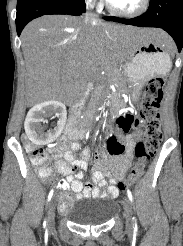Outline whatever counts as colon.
<instances>
[{
  "mask_svg": "<svg viewBox=\"0 0 183 246\" xmlns=\"http://www.w3.org/2000/svg\"><path fill=\"white\" fill-rule=\"evenodd\" d=\"M164 81L162 78H153L146 86L145 93L141 99L138 116L123 115L118 118L116 132L109 133L106 140V149L111 157H124L127 147L118 138L126 137L132 129L141 132L142 139L135 148L136 163L131 169L126 181L119 180L116 183L118 190H123L126 183H133L144 173L147 162L156 154L161 140L162 131L160 127V106L163 99ZM26 150L33 164L40 168V174L47 177L50 168L47 164V155L44 149L36 147L25 140ZM60 209L65 206L60 202Z\"/></svg>",
  "mask_w": 183,
  "mask_h": 246,
  "instance_id": "colon-1",
  "label": "colon"
}]
</instances>
